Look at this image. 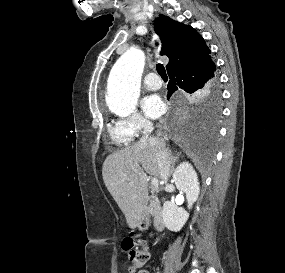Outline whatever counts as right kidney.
<instances>
[{
  "label": "right kidney",
  "mask_w": 285,
  "mask_h": 273,
  "mask_svg": "<svg viewBox=\"0 0 285 273\" xmlns=\"http://www.w3.org/2000/svg\"><path fill=\"white\" fill-rule=\"evenodd\" d=\"M173 180L177 189L186 194L188 209H191L200 193L198 177L191 164L188 162L179 164L173 174ZM162 217L168 230L178 232L185 225L189 213L174 202L166 201L163 205Z\"/></svg>",
  "instance_id": "ca27d5eb"
}]
</instances>
